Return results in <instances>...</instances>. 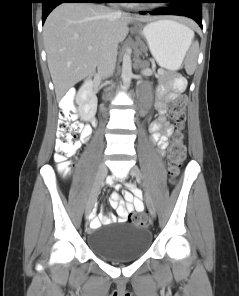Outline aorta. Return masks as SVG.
<instances>
[{
	"label": "aorta",
	"mask_w": 239,
	"mask_h": 296,
	"mask_svg": "<svg viewBox=\"0 0 239 296\" xmlns=\"http://www.w3.org/2000/svg\"><path fill=\"white\" fill-rule=\"evenodd\" d=\"M132 75L133 74H132L131 55H130V51L126 50L125 54L123 55L122 74H121L124 86L126 87L129 86Z\"/></svg>",
	"instance_id": "1"
}]
</instances>
